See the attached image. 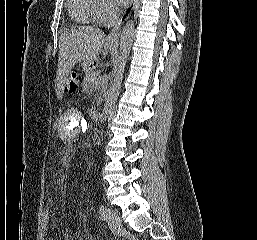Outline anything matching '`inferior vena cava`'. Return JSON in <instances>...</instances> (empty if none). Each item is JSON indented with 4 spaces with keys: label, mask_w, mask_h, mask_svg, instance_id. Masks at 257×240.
I'll use <instances>...</instances> for the list:
<instances>
[{
    "label": "inferior vena cava",
    "mask_w": 257,
    "mask_h": 240,
    "mask_svg": "<svg viewBox=\"0 0 257 240\" xmlns=\"http://www.w3.org/2000/svg\"><path fill=\"white\" fill-rule=\"evenodd\" d=\"M107 14L108 16L107 21L105 23V27L110 28L115 26L118 22L119 8L114 5H110L107 10Z\"/></svg>",
    "instance_id": "obj_1"
}]
</instances>
